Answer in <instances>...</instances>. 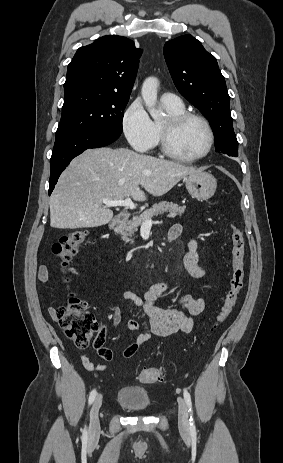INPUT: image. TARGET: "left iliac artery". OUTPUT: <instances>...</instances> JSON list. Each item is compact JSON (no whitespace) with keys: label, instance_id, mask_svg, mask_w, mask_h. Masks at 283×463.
I'll list each match as a JSON object with an SVG mask.
<instances>
[{"label":"left iliac artery","instance_id":"obj_1","mask_svg":"<svg viewBox=\"0 0 283 463\" xmlns=\"http://www.w3.org/2000/svg\"><path fill=\"white\" fill-rule=\"evenodd\" d=\"M184 399H185V402L188 406V412L190 413V432H191V435L192 436H196V427H195V422H194V418H193V410H192V401H191V396L189 394V392L184 389Z\"/></svg>","mask_w":283,"mask_h":463}]
</instances>
